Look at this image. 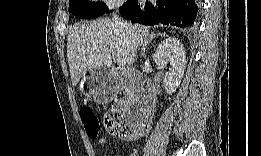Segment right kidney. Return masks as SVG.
Returning a JSON list of instances; mask_svg holds the SVG:
<instances>
[{"instance_id": "1", "label": "right kidney", "mask_w": 261, "mask_h": 156, "mask_svg": "<svg viewBox=\"0 0 261 156\" xmlns=\"http://www.w3.org/2000/svg\"><path fill=\"white\" fill-rule=\"evenodd\" d=\"M153 60L158 66L166 67L170 64L169 70L163 77V85L167 94L171 95L179 87L184 76L186 67V54L184 46L175 37L163 40L157 47Z\"/></svg>"}]
</instances>
